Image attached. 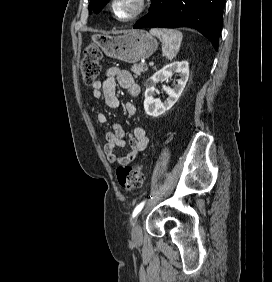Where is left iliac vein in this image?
<instances>
[{"mask_svg":"<svg viewBox=\"0 0 272 282\" xmlns=\"http://www.w3.org/2000/svg\"><path fill=\"white\" fill-rule=\"evenodd\" d=\"M131 238L132 242L136 245H139L142 242L143 235L139 219H135L133 222V226L131 229Z\"/></svg>","mask_w":272,"mask_h":282,"instance_id":"left-iliac-vein-1","label":"left iliac vein"}]
</instances>
